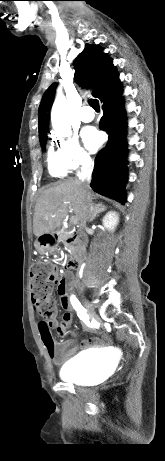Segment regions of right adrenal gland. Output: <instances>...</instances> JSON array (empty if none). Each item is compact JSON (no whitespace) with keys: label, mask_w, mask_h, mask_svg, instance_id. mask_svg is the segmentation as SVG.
<instances>
[{"label":"right adrenal gland","mask_w":165,"mask_h":461,"mask_svg":"<svg viewBox=\"0 0 165 461\" xmlns=\"http://www.w3.org/2000/svg\"><path fill=\"white\" fill-rule=\"evenodd\" d=\"M96 209H97V211L93 215L91 221H93L96 217H98L100 213L106 211V206H104L103 204H98V205H96Z\"/></svg>","instance_id":"1"}]
</instances>
